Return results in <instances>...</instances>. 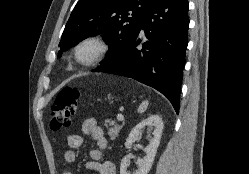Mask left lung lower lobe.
Masks as SVG:
<instances>
[{
    "label": "left lung lower lobe",
    "instance_id": "left-lung-lower-lobe-1",
    "mask_svg": "<svg viewBox=\"0 0 249 174\" xmlns=\"http://www.w3.org/2000/svg\"><path fill=\"white\" fill-rule=\"evenodd\" d=\"M187 0H153L140 27L145 32L143 48L135 39L126 47L122 57L104 72L133 78L165 95L179 112V98L185 53L188 42Z\"/></svg>",
    "mask_w": 249,
    "mask_h": 174
}]
</instances>
